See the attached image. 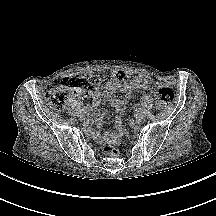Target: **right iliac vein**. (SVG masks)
Listing matches in <instances>:
<instances>
[{"mask_svg": "<svg viewBox=\"0 0 216 216\" xmlns=\"http://www.w3.org/2000/svg\"><path fill=\"white\" fill-rule=\"evenodd\" d=\"M79 118H80L81 121H84V120H86L87 117H86L85 114H80Z\"/></svg>", "mask_w": 216, "mask_h": 216, "instance_id": "obj_1", "label": "right iliac vein"}]
</instances>
